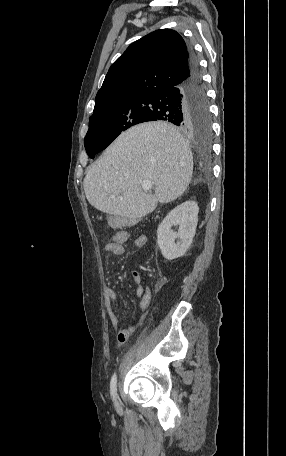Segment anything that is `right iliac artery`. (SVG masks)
Wrapping results in <instances>:
<instances>
[{
	"instance_id": "1",
	"label": "right iliac artery",
	"mask_w": 286,
	"mask_h": 456,
	"mask_svg": "<svg viewBox=\"0 0 286 456\" xmlns=\"http://www.w3.org/2000/svg\"><path fill=\"white\" fill-rule=\"evenodd\" d=\"M110 393H111L112 399L115 401L116 397H117V376H116V374H114L111 378Z\"/></svg>"
}]
</instances>
